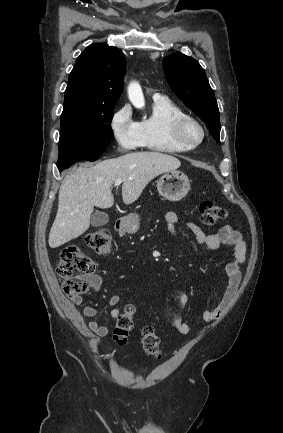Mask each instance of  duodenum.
Here are the masks:
<instances>
[{
  "label": "duodenum",
  "mask_w": 283,
  "mask_h": 433,
  "mask_svg": "<svg viewBox=\"0 0 283 433\" xmlns=\"http://www.w3.org/2000/svg\"><path fill=\"white\" fill-rule=\"evenodd\" d=\"M126 224L123 221H118L116 223V228L119 232H123L125 230Z\"/></svg>",
  "instance_id": "410a0bca"
}]
</instances>
